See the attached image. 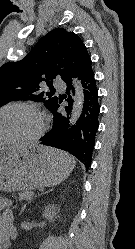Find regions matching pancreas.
Masks as SVG:
<instances>
[{
    "label": "pancreas",
    "mask_w": 135,
    "mask_h": 249,
    "mask_svg": "<svg viewBox=\"0 0 135 249\" xmlns=\"http://www.w3.org/2000/svg\"><path fill=\"white\" fill-rule=\"evenodd\" d=\"M32 192L29 190H25L19 194L20 199L28 200L31 198Z\"/></svg>",
    "instance_id": "obj_1"
}]
</instances>
